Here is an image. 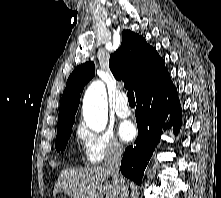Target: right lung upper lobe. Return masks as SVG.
<instances>
[{
  "instance_id": "right-lung-upper-lobe-1",
  "label": "right lung upper lobe",
  "mask_w": 221,
  "mask_h": 198,
  "mask_svg": "<svg viewBox=\"0 0 221 198\" xmlns=\"http://www.w3.org/2000/svg\"><path fill=\"white\" fill-rule=\"evenodd\" d=\"M109 67L117 80H123L126 88L136 96L151 85L165 71L164 60L146 40L129 30L122 33V43L110 56ZM95 74L93 62L79 65L69 76L62 95L58 115L57 131L73 126L80 93Z\"/></svg>"
}]
</instances>
